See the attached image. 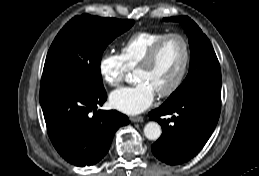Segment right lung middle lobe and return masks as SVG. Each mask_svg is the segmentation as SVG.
I'll return each mask as SVG.
<instances>
[{"mask_svg": "<svg viewBox=\"0 0 259 176\" xmlns=\"http://www.w3.org/2000/svg\"><path fill=\"white\" fill-rule=\"evenodd\" d=\"M134 21L101 18L84 14L75 16L54 39L44 65L41 88L78 86L103 88L100 72L102 53Z\"/></svg>", "mask_w": 259, "mask_h": 176, "instance_id": "dd1d6c3e", "label": "right lung middle lobe"}]
</instances>
